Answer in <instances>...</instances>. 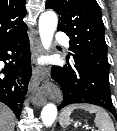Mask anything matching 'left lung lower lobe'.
Wrapping results in <instances>:
<instances>
[{"label": "left lung lower lobe", "mask_w": 117, "mask_h": 131, "mask_svg": "<svg viewBox=\"0 0 117 131\" xmlns=\"http://www.w3.org/2000/svg\"><path fill=\"white\" fill-rule=\"evenodd\" d=\"M66 60L64 67L53 66L51 72L52 78L61 86L63 92V101L58 109L74 103H89L107 109L117 120L109 80L81 61L69 62L68 58Z\"/></svg>", "instance_id": "0a47b994"}]
</instances>
